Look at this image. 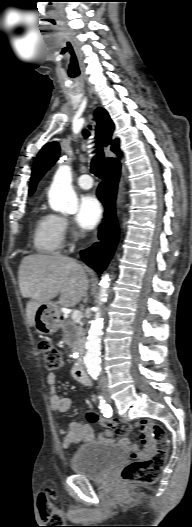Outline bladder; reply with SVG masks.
<instances>
[{"label": "bladder", "mask_w": 192, "mask_h": 527, "mask_svg": "<svg viewBox=\"0 0 192 527\" xmlns=\"http://www.w3.org/2000/svg\"><path fill=\"white\" fill-rule=\"evenodd\" d=\"M125 460L126 453L122 448L97 441L80 448L71 458V467L74 473L98 481Z\"/></svg>", "instance_id": "bladder-1"}]
</instances>
